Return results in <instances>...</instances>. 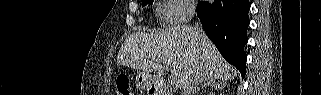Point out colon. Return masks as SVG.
I'll return each instance as SVG.
<instances>
[{
    "instance_id": "colon-1",
    "label": "colon",
    "mask_w": 321,
    "mask_h": 95,
    "mask_svg": "<svg viewBox=\"0 0 321 95\" xmlns=\"http://www.w3.org/2000/svg\"><path fill=\"white\" fill-rule=\"evenodd\" d=\"M118 95H133L129 80L125 76H120L116 81Z\"/></svg>"
}]
</instances>
